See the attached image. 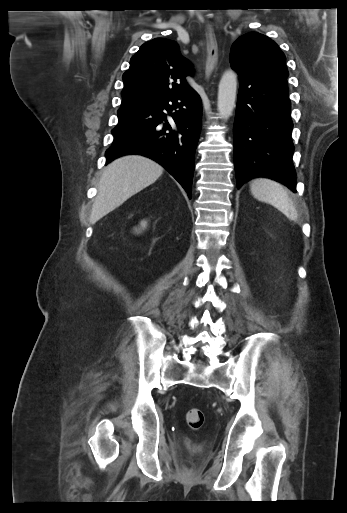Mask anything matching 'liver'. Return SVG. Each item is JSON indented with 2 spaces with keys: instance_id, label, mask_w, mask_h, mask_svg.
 <instances>
[{
  "instance_id": "1",
  "label": "liver",
  "mask_w": 347,
  "mask_h": 513,
  "mask_svg": "<svg viewBox=\"0 0 347 513\" xmlns=\"http://www.w3.org/2000/svg\"><path fill=\"white\" fill-rule=\"evenodd\" d=\"M163 173V167L140 155L122 156L103 171L98 195L90 221L96 223L127 199L153 184Z\"/></svg>"
}]
</instances>
